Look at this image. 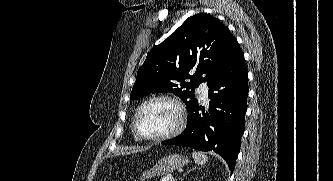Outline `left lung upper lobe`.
<instances>
[{
	"label": "left lung upper lobe",
	"mask_w": 333,
	"mask_h": 181,
	"mask_svg": "<svg viewBox=\"0 0 333 181\" xmlns=\"http://www.w3.org/2000/svg\"><path fill=\"white\" fill-rule=\"evenodd\" d=\"M238 49L237 40L218 19L207 13L191 16L150 51L137 72L130 99L172 92L189 112L199 104L194 98L195 88L208 81Z\"/></svg>",
	"instance_id": "left-lung-upper-lobe-1"
}]
</instances>
